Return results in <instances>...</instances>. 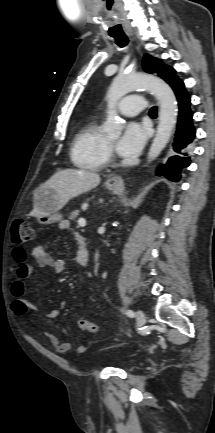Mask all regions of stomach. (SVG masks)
<instances>
[{
  "instance_id": "stomach-1",
  "label": "stomach",
  "mask_w": 215,
  "mask_h": 433,
  "mask_svg": "<svg viewBox=\"0 0 215 433\" xmlns=\"http://www.w3.org/2000/svg\"><path fill=\"white\" fill-rule=\"evenodd\" d=\"M108 190H115L116 185L106 184ZM34 206L40 215L37 220L42 225H49L62 219L59 213L60 206L55 192L50 188L39 187L34 191Z\"/></svg>"
}]
</instances>
